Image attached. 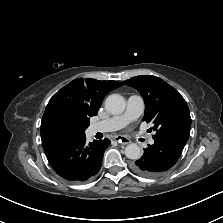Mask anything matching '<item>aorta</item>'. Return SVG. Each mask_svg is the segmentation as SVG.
I'll use <instances>...</instances> for the list:
<instances>
[{"label": "aorta", "mask_w": 223, "mask_h": 223, "mask_svg": "<svg viewBox=\"0 0 223 223\" xmlns=\"http://www.w3.org/2000/svg\"><path fill=\"white\" fill-rule=\"evenodd\" d=\"M126 102L125 99L119 94H111L105 100V108L111 114H121L125 110ZM125 155L129 159H139L141 156L140 147L131 143L125 148Z\"/></svg>", "instance_id": "aorta-1"}]
</instances>
